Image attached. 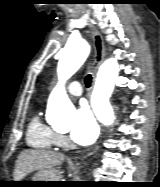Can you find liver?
<instances>
[{
  "label": "liver",
  "instance_id": "obj_1",
  "mask_svg": "<svg viewBox=\"0 0 160 187\" xmlns=\"http://www.w3.org/2000/svg\"><path fill=\"white\" fill-rule=\"evenodd\" d=\"M65 156L41 150H25L17 158L14 181H21L27 174L39 170L46 171L62 164Z\"/></svg>",
  "mask_w": 160,
  "mask_h": 187
}]
</instances>
